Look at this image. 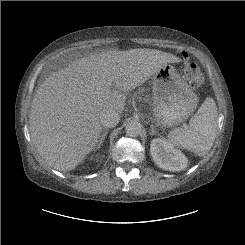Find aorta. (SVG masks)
<instances>
[{"mask_svg":"<svg viewBox=\"0 0 245 245\" xmlns=\"http://www.w3.org/2000/svg\"><path fill=\"white\" fill-rule=\"evenodd\" d=\"M142 126L136 120H131L126 124L125 131L130 137H136L141 133Z\"/></svg>","mask_w":245,"mask_h":245,"instance_id":"762f6f07","label":"aorta"}]
</instances>
